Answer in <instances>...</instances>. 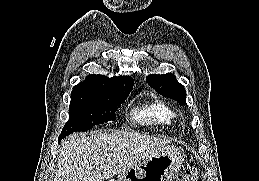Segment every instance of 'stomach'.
Masks as SVG:
<instances>
[{"mask_svg":"<svg viewBox=\"0 0 259 181\" xmlns=\"http://www.w3.org/2000/svg\"><path fill=\"white\" fill-rule=\"evenodd\" d=\"M182 162L180 151L169 146L122 172L116 181H169Z\"/></svg>","mask_w":259,"mask_h":181,"instance_id":"0dacf381","label":"stomach"}]
</instances>
